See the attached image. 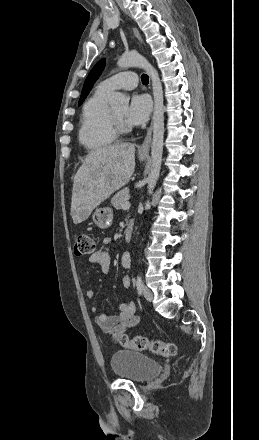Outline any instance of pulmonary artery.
<instances>
[{"mask_svg": "<svg viewBox=\"0 0 259 440\" xmlns=\"http://www.w3.org/2000/svg\"><path fill=\"white\" fill-rule=\"evenodd\" d=\"M137 84V74L133 71H124L103 80L102 82H100L98 88L105 92L111 93L117 89H134Z\"/></svg>", "mask_w": 259, "mask_h": 440, "instance_id": "pulmonary-artery-1", "label": "pulmonary artery"}]
</instances>
